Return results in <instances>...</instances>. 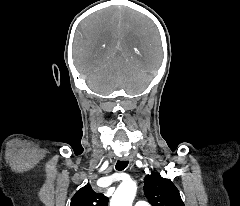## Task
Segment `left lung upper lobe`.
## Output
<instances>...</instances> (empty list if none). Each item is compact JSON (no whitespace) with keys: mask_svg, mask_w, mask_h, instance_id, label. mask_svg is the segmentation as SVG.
Masks as SVG:
<instances>
[{"mask_svg":"<svg viewBox=\"0 0 240 206\" xmlns=\"http://www.w3.org/2000/svg\"><path fill=\"white\" fill-rule=\"evenodd\" d=\"M144 182V192L152 206H185L170 179L153 172L145 177Z\"/></svg>","mask_w":240,"mask_h":206,"instance_id":"obj_1","label":"left lung upper lobe"}]
</instances>
